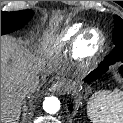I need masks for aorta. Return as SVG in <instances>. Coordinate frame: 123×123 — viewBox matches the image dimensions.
Wrapping results in <instances>:
<instances>
[{
  "instance_id": "aorta-1",
  "label": "aorta",
  "mask_w": 123,
  "mask_h": 123,
  "mask_svg": "<svg viewBox=\"0 0 123 123\" xmlns=\"http://www.w3.org/2000/svg\"><path fill=\"white\" fill-rule=\"evenodd\" d=\"M43 109L49 114H55L60 109V101L55 96L46 97L43 101Z\"/></svg>"
}]
</instances>
